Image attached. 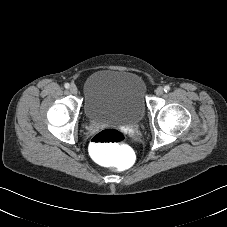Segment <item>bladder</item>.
I'll return each mask as SVG.
<instances>
[{
  "label": "bladder",
  "instance_id": "obj_1",
  "mask_svg": "<svg viewBox=\"0 0 227 227\" xmlns=\"http://www.w3.org/2000/svg\"><path fill=\"white\" fill-rule=\"evenodd\" d=\"M145 84L129 71L98 70L83 85L84 113L89 121L138 124L145 114Z\"/></svg>",
  "mask_w": 227,
  "mask_h": 227
}]
</instances>
